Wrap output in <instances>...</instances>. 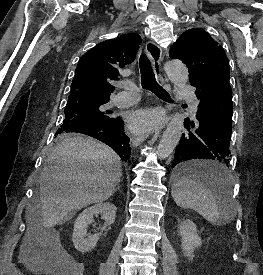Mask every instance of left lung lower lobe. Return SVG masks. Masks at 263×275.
I'll return each instance as SVG.
<instances>
[{
  "instance_id": "left-lung-lower-lobe-1",
  "label": "left lung lower lobe",
  "mask_w": 263,
  "mask_h": 275,
  "mask_svg": "<svg viewBox=\"0 0 263 275\" xmlns=\"http://www.w3.org/2000/svg\"><path fill=\"white\" fill-rule=\"evenodd\" d=\"M190 84L196 87L195 94L200 100L196 114L198 124L185 119L187 131L176 147L172 167H177L175 177L178 180L190 179L216 187L225 179L223 174L200 168L190 161L211 159L220 162V165L229 164L233 115L231 86L227 81L207 86H199L195 82Z\"/></svg>"
}]
</instances>
